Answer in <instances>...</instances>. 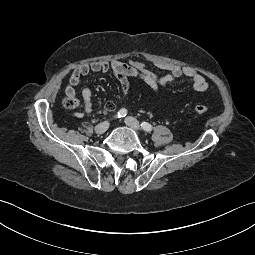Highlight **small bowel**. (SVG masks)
<instances>
[{"mask_svg": "<svg viewBox=\"0 0 255 255\" xmlns=\"http://www.w3.org/2000/svg\"><path fill=\"white\" fill-rule=\"evenodd\" d=\"M155 67L160 70H165L167 73L163 76L157 75L152 69L137 60H129L122 62L112 60L110 62L96 61L87 63L77 67L70 76L69 85L66 87L65 93L67 96L75 95V88L79 86L81 79L91 73H107L112 72L120 80V86L124 96L130 95V86L126 77H135L143 80L153 91L158 93L161 86L168 85L175 80L183 77L188 78L195 90L203 92L209 87L206 78L191 68H181L177 65H170L163 62H156ZM82 99L84 103V112L92 111V90L89 87L82 89ZM116 104L113 101H107L104 109L108 112L114 111ZM78 116L80 114H77Z\"/></svg>", "mask_w": 255, "mask_h": 255, "instance_id": "1", "label": "small bowel"}]
</instances>
